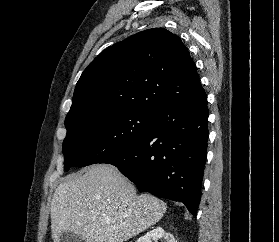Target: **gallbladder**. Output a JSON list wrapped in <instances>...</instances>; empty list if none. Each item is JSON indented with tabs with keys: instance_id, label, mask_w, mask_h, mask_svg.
<instances>
[{
	"instance_id": "obj_1",
	"label": "gallbladder",
	"mask_w": 279,
	"mask_h": 242,
	"mask_svg": "<svg viewBox=\"0 0 279 242\" xmlns=\"http://www.w3.org/2000/svg\"><path fill=\"white\" fill-rule=\"evenodd\" d=\"M84 239L75 233L72 232H63L60 235V242H83Z\"/></svg>"
}]
</instances>
